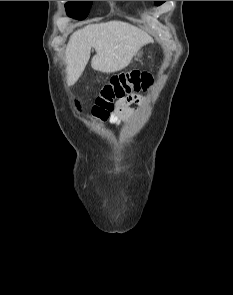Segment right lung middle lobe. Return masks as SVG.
Instances as JSON below:
<instances>
[{"instance_id":"dd1d6c3e","label":"right lung middle lobe","mask_w":233,"mask_h":295,"mask_svg":"<svg viewBox=\"0 0 233 295\" xmlns=\"http://www.w3.org/2000/svg\"><path fill=\"white\" fill-rule=\"evenodd\" d=\"M91 6L92 1H69L65 4L67 15L80 20L87 17Z\"/></svg>"}]
</instances>
